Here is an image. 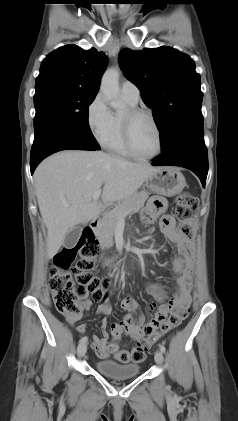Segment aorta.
<instances>
[{"mask_svg": "<svg viewBox=\"0 0 238 421\" xmlns=\"http://www.w3.org/2000/svg\"><path fill=\"white\" fill-rule=\"evenodd\" d=\"M100 91L114 109H121L124 104L119 100V69L110 68L101 79Z\"/></svg>", "mask_w": 238, "mask_h": 421, "instance_id": "762f6f07", "label": "aorta"}]
</instances>
